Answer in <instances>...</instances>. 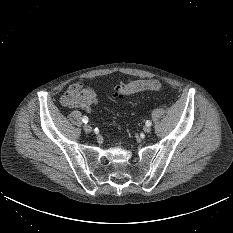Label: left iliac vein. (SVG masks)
<instances>
[{
	"mask_svg": "<svg viewBox=\"0 0 233 233\" xmlns=\"http://www.w3.org/2000/svg\"><path fill=\"white\" fill-rule=\"evenodd\" d=\"M143 130H144L145 133H149L151 131V127L150 126H145Z\"/></svg>",
	"mask_w": 233,
	"mask_h": 233,
	"instance_id": "1",
	"label": "left iliac vein"
}]
</instances>
